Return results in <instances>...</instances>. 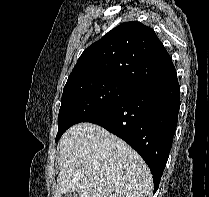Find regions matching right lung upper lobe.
<instances>
[{"label":"right lung upper lobe","instance_id":"cb5924a9","mask_svg":"<svg viewBox=\"0 0 209 197\" xmlns=\"http://www.w3.org/2000/svg\"><path fill=\"white\" fill-rule=\"evenodd\" d=\"M173 69L172 60L155 32L132 21L120 24L88 47L66 85L107 79L138 88Z\"/></svg>","mask_w":209,"mask_h":197}]
</instances>
